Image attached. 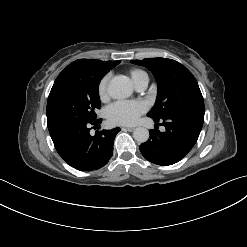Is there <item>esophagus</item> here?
Segmentation results:
<instances>
[{"mask_svg":"<svg viewBox=\"0 0 247 247\" xmlns=\"http://www.w3.org/2000/svg\"><path fill=\"white\" fill-rule=\"evenodd\" d=\"M122 130H125V131H134L135 130V127H123Z\"/></svg>","mask_w":247,"mask_h":247,"instance_id":"1","label":"esophagus"}]
</instances>
